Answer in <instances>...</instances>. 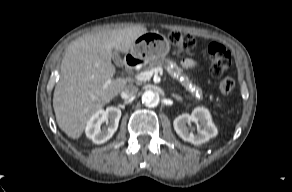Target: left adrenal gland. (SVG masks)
Returning a JSON list of instances; mask_svg holds the SVG:
<instances>
[{"instance_id": "left-adrenal-gland-1", "label": "left adrenal gland", "mask_w": 292, "mask_h": 192, "mask_svg": "<svg viewBox=\"0 0 292 192\" xmlns=\"http://www.w3.org/2000/svg\"><path fill=\"white\" fill-rule=\"evenodd\" d=\"M171 96H172L173 98H175L176 100H178V101H182V98H181L179 95L172 94Z\"/></svg>"}]
</instances>
